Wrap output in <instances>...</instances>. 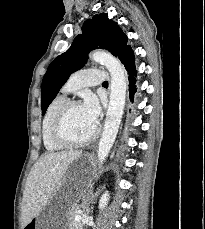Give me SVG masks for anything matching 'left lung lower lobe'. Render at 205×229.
Here are the masks:
<instances>
[{"label":"left lung lower lobe","instance_id":"1","mask_svg":"<svg viewBox=\"0 0 205 229\" xmlns=\"http://www.w3.org/2000/svg\"><path fill=\"white\" fill-rule=\"evenodd\" d=\"M118 58L120 59V61L122 62V64H124L126 70L128 71L129 74V98L130 100L133 102L134 99V95L137 92V88L135 85V81H136V76H137V70L135 67V56H134V52L131 49L130 46H127L118 56Z\"/></svg>","mask_w":205,"mask_h":229}]
</instances>
